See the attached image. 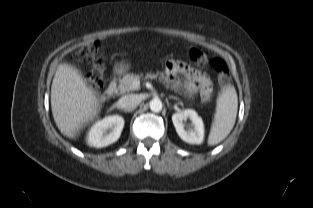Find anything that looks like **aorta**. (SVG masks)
Instances as JSON below:
<instances>
[{"label": "aorta", "mask_w": 313, "mask_h": 208, "mask_svg": "<svg viewBox=\"0 0 313 208\" xmlns=\"http://www.w3.org/2000/svg\"><path fill=\"white\" fill-rule=\"evenodd\" d=\"M162 107H163V105H162V102L160 99L154 98L150 101L151 111L158 113L162 110Z\"/></svg>", "instance_id": "1"}]
</instances>
